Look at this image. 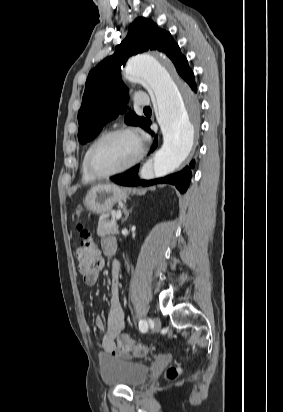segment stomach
Returning <instances> with one entry per match:
<instances>
[{
	"label": "stomach",
	"instance_id": "obj_1",
	"mask_svg": "<svg viewBox=\"0 0 283 412\" xmlns=\"http://www.w3.org/2000/svg\"><path fill=\"white\" fill-rule=\"evenodd\" d=\"M128 193L125 189L113 184L97 185L93 187L84 199V206L95 214H103L111 211L113 206L120 201H125ZM82 208L78 207L75 214L79 217Z\"/></svg>",
	"mask_w": 283,
	"mask_h": 412
}]
</instances>
